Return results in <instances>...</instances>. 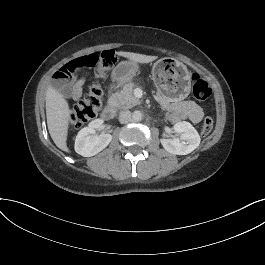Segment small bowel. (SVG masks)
Here are the masks:
<instances>
[{
  "mask_svg": "<svg viewBox=\"0 0 265 265\" xmlns=\"http://www.w3.org/2000/svg\"><path fill=\"white\" fill-rule=\"evenodd\" d=\"M86 80L87 76H83L73 81L67 88V95L74 100L80 99ZM169 114L172 119H189L194 123L200 122L204 117L202 108L194 101L190 100H179L174 102L170 107Z\"/></svg>",
  "mask_w": 265,
  "mask_h": 265,
  "instance_id": "1",
  "label": "small bowel"
}]
</instances>
